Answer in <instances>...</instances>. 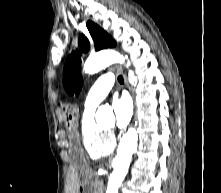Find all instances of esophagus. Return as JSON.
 Segmentation results:
<instances>
[{
	"instance_id": "obj_1",
	"label": "esophagus",
	"mask_w": 221,
	"mask_h": 193,
	"mask_svg": "<svg viewBox=\"0 0 221 193\" xmlns=\"http://www.w3.org/2000/svg\"><path fill=\"white\" fill-rule=\"evenodd\" d=\"M116 68H117V70L122 74L123 79H124V83H125V85L129 88V86H128V84H127V78H126V75L123 73L122 67L119 66V65H117ZM129 90H130V88H129ZM131 94H132V98H133V100H134V101H133V105L131 106V107L134 109V118H133V121H134V120H135V114H136V106H135L134 104H136V101H135V99H134L133 93H131ZM130 126H134V123H130Z\"/></svg>"
}]
</instances>
